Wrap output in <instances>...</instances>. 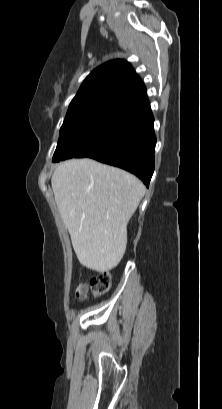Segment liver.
Segmentation results:
<instances>
[{"instance_id": "liver-1", "label": "liver", "mask_w": 222, "mask_h": 409, "mask_svg": "<svg viewBox=\"0 0 222 409\" xmlns=\"http://www.w3.org/2000/svg\"><path fill=\"white\" fill-rule=\"evenodd\" d=\"M51 185L81 265L97 272L115 268L127 244V224L145 193L134 175L93 159L67 160Z\"/></svg>"}]
</instances>
